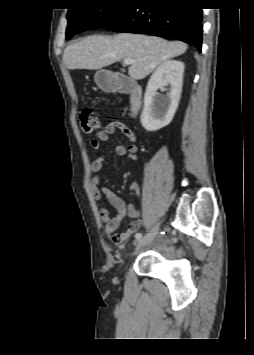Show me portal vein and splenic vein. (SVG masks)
Returning a JSON list of instances; mask_svg holds the SVG:
<instances>
[{"instance_id": "portal-vein-and-splenic-vein-1", "label": "portal vein and splenic vein", "mask_w": 254, "mask_h": 355, "mask_svg": "<svg viewBox=\"0 0 254 355\" xmlns=\"http://www.w3.org/2000/svg\"><path fill=\"white\" fill-rule=\"evenodd\" d=\"M124 63L126 65H131L132 63H134V60L133 59H130V58H127V59H124Z\"/></svg>"}]
</instances>
